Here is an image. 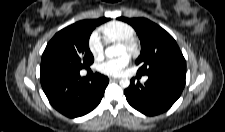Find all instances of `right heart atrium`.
I'll list each match as a JSON object with an SVG mask.
<instances>
[{
  "label": "right heart atrium",
  "instance_id": "right-heart-atrium-1",
  "mask_svg": "<svg viewBox=\"0 0 225 132\" xmlns=\"http://www.w3.org/2000/svg\"><path fill=\"white\" fill-rule=\"evenodd\" d=\"M88 48L95 58H101L104 53L103 43L97 33H92L88 40Z\"/></svg>",
  "mask_w": 225,
  "mask_h": 132
}]
</instances>
